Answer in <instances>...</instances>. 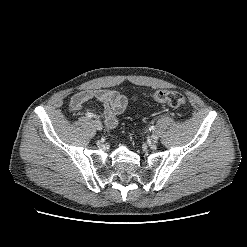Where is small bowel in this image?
Wrapping results in <instances>:
<instances>
[{"mask_svg":"<svg viewBox=\"0 0 247 247\" xmlns=\"http://www.w3.org/2000/svg\"><path fill=\"white\" fill-rule=\"evenodd\" d=\"M97 99L101 101L104 108L98 114L91 113L94 116L101 117L111 129L115 128L118 124L117 117L122 115L127 108L128 100L125 96L117 91L109 89H97L94 91L86 90L73 95L69 102L70 110H80L86 102Z\"/></svg>","mask_w":247,"mask_h":247,"instance_id":"obj_1","label":"small bowel"}]
</instances>
